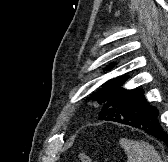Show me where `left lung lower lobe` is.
I'll list each match as a JSON object with an SVG mask.
<instances>
[{
	"label": "left lung lower lobe",
	"mask_w": 168,
	"mask_h": 162,
	"mask_svg": "<svg viewBox=\"0 0 168 162\" xmlns=\"http://www.w3.org/2000/svg\"><path fill=\"white\" fill-rule=\"evenodd\" d=\"M158 116L159 110L147 102L142 89L118 88L109 96L99 120L130 125L168 145V135L161 127Z\"/></svg>",
	"instance_id": "0a47b994"
}]
</instances>
